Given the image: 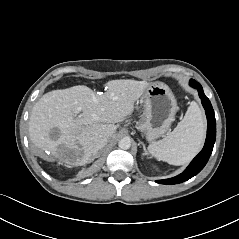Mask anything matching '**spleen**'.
Wrapping results in <instances>:
<instances>
[{"label":"spleen","mask_w":239,"mask_h":239,"mask_svg":"<svg viewBox=\"0 0 239 239\" xmlns=\"http://www.w3.org/2000/svg\"><path fill=\"white\" fill-rule=\"evenodd\" d=\"M205 138V123L196 102L188 107L184 118L165 138L148 146L149 153L171 165H184L200 151Z\"/></svg>","instance_id":"1"}]
</instances>
